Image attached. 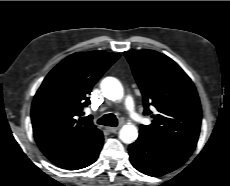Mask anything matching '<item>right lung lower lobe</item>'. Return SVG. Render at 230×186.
<instances>
[{"instance_id":"98d812e1","label":"right lung lower lobe","mask_w":230,"mask_h":186,"mask_svg":"<svg viewBox=\"0 0 230 186\" xmlns=\"http://www.w3.org/2000/svg\"><path fill=\"white\" fill-rule=\"evenodd\" d=\"M103 140L99 142L90 152L88 155L83 157L78 163L74 164L73 166H70L66 169L68 170H77L84 167L89 166L90 164L94 163L96 159L98 158V155L100 153V150L102 148Z\"/></svg>"}]
</instances>
